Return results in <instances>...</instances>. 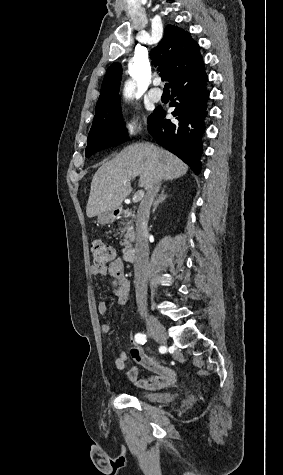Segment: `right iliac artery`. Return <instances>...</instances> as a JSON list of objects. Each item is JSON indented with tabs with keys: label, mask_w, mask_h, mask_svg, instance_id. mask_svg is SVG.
<instances>
[{
	"label": "right iliac artery",
	"mask_w": 283,
	"mask_h": 475,
	"mask_svg": "<svg viewBox=\"0 0 283 475\" xmlns=\"http://www.w3.org/2000/svg\"><path fill=\"white\" fill-rule=\"evenodd\" d=\"M135 341L139 344H145L146 342V335L145 334H141V333H138L135 335Z\"/></svg>",
	"instance_id": "1"
}]
</instances>
